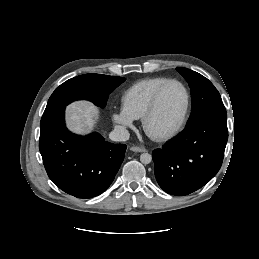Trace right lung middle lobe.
<instances>
[{"instance_id": "right-lung-middle-lobe-1", "label": "right lung middle lobe", "mask_w": 259, "mask_h": 259, "mask_svg": "<svg viewBox=\"0 0 259 259\" xmlns=\"http://www.w3.org/2000/svg\"><path fill=\"white\" fill-rule=\"evenodd\" d=\"M125 81L123 77L102 74H84L71 78L55 89L44 114L66 107L75 100H89L104 108L109 94Z\"/></svg>"}]
</instances>
